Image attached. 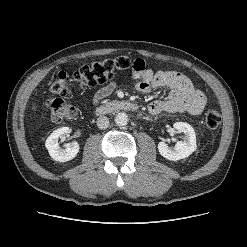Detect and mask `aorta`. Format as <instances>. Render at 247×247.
Returning a JSON list of instances; mask_svg holds the SVG:
<instances>
[{"label": "aorta", "instance_id": "aorta-1", "mask_svg": "<svg viewBox=\"0 0 247 247\" xmlns=\"http://www.w3.org/2000/svg\"><path fill=\"white\" fill-rule=\"evenodd\" d=\"M115 123L118 126H126L128 124V115L124 112H120L115 116Z\"/></svg>", "mask_w": 247, "mask_h": 247}]
</instances>
